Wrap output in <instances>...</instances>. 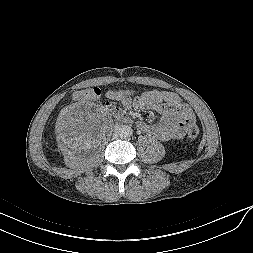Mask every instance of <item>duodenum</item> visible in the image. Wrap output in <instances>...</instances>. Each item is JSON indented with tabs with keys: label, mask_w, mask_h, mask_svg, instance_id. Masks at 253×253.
Instances as JSON below:
<instances>
[{
	"label": "duodenum",
	"mask_w": 253,
	"mask_h": 253,
	"mask_svg": "<svg viewBox=\"0 0 253 253\" xmlns=\"http://www.w3.org/2000/svg\"><path fill=\"white\" fill-rule=\"evenodd\" d=\"M118 119H120L122 122L128 123L131 121V118L126 114H117Z\"/></svg>",
	"instance_id": "1"
}]
</instances>
